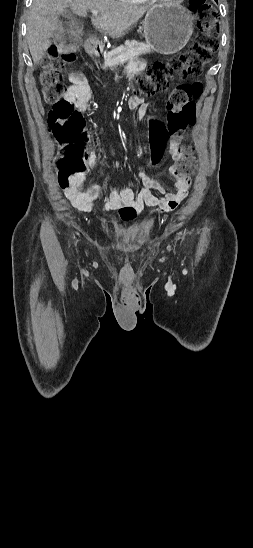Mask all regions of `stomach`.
Returning a JSON list of instances; mask_svg holds the SVG:
<instances>
[{"instance_id":"0dacf381","label":"stomach","mask_w":253,"mask_h":548,"mask_svg":"<svg viewBox=\"0 0 253 548\" xmlns=\"http://www.w3.org/2000/svg\"><path fill=\"white\" fill-rule=\"evenodd\" d=\"M143 27L147 44L160 54H173L189 41L193 18L181 5L160 4L147 12Z\"/></svg>"}]
</instances>
